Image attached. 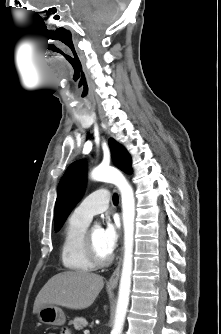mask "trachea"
Returning a JSON list of instances; mask_svg holds the SVG:
<instances>
[{
  "label": "trachea",
  "mask_w": 221,
  "mask_h": 334,
  "mask_svg": "<svg viewBox=\"0 0 221 334\" xmlns=\"http://www.w3.org/2000/svg\"><path fill=\"white\" fill-rule=\"evenodd\" d=\"M113 202H114L115 204L118 203V195H117V194H115V195L113 196Z\"/></svg>",
  "instance_id": "trachea-1"
}]
</instances>
